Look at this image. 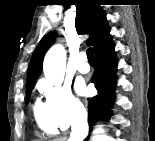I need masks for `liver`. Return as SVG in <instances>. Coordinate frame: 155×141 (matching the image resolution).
I'll return each mask as SVG.
<instances>
[{
    "instance_id": "liver-1",
    "label": "liver",
    "mask_w": 155,
    "mask_h": 141,
    "mask_svg": "<svg viewBox=\"0 0 155 141\" xmlns=\"http://www.w3.org/2000/svg\"><path fill=\"white\" fill-rule=\"evenodd\" d=\"M54 141H66V138H58V139H56V140H54Z\"/></svg>"
}]
</instances>
